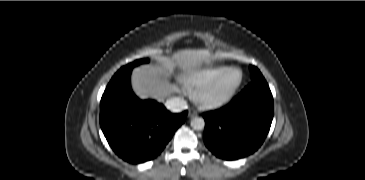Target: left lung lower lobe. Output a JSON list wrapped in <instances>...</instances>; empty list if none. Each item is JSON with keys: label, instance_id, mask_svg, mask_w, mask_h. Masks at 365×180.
Segmentation results:
<instances>
[{"label": "left lung lower lobe", "instance_id": "1", "mask_svg": "<svg viewBox=\"0 0 365 180\" xmlns=\"http://www.w3.org/2000/svg\"><path fill=\"white\" fill-rule=\"evenodd\" d=\"M273 114V97L266 80H253L229 105L203 113L204 143L219 158H243L261 146Z\"/></svg>", "mask_w": 365, "mask_h": 180}]
</instances>
